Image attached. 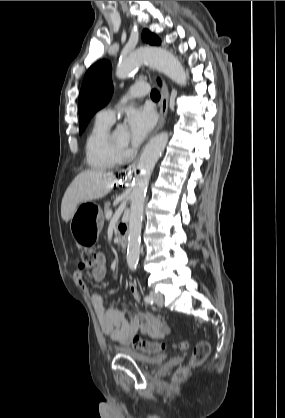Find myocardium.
<instances>
[{
	"label": "myocardium",
	"instance_id": "myocardium-1",
	"mask_svg": "<svg viewBox=\"0 0 285 418\" xmlns=\"http://www.w3.org/2000/svg\"><path fill=\"white\" fill-rule=\"evenodd\" d=\"M104 142L114 155L120 158L126 156V146L119 147L113 142V131L110 128L104 136Z\"/></svg>",
	"mask_w": 285,
	"mask_h": 418
}]
</instances>
